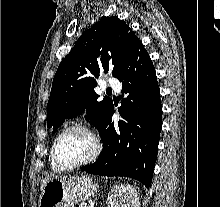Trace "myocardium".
<instances>
[{
    "mask_svg": "<svg viewBox=\"0 0 220 207\" xmlns=\"http://www.w3.org/2000/svg\"><path fill=\"white\" fill-rule=\"evenodd\" d=\"M74 130H78V131H82V132L86 133L92 139L93 144H94V148H93V151L90 154V156L88 158H86L85 160L78 162V163L70 164V165H64L57 158V154H56L57 144H58V141L60 140V138L65 133H67L69 131H74ZM101 150H102L101 140H100L99 136L92 129H90L88 126H86L84 124H72V125H69V126L63 128L55 137L53 144H52V147H51V158H52L54 164L60 170H72V169H77V168L86 166V165L92 163L93 161H95L97 159V157L99 156Z\"/></svg>",
    "mask_w": 220,
    "mask_h": 207,
    "instance_id": "obj_1",
    "label": "myocardium"
}]
</instances>
